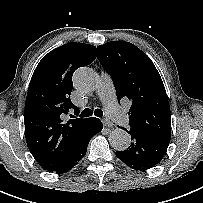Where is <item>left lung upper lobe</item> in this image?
Segmentation results:
<instances>
[{
  "instance_id": "left-lung-upper-lobe-1",
  "label": "left lung upper lobe",
  "mask_w": 203,
  "mask_h": 203,
  "mask_svg": "<svg viewBox=\"0 0 203 203\" xmlns=\"http://www.w3.org/2000/svg\"><path fill=\"white\" fill-rule=\"evenodd\" d=\"M98 60L112 77L118 102L129 99L131 130L170 142L171 113L162 79L150 58L137 46L111 41L98 46Z\"/></svg>"
}]
</instances>
